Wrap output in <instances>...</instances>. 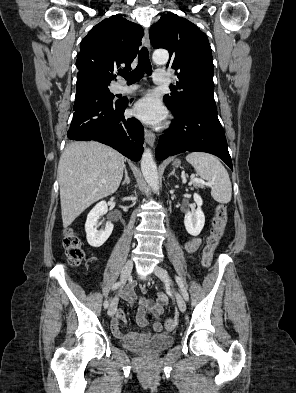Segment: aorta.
<instances>
[{"mask_svg": "<svg viewBox=\"0 0 296 393\" xmlns=\"http://www.w3.org/2000/svg\"><path fill=\"white\" fill-rule=\"evenodd\" d=\"M152 58L156 64H165L169 59V54L166 50H156L154 51ZM141 171L148 185L157 191L159 189V178L157 166L150 149H145L143 152L141 159Z\"/></svg>", "mask_w": 296, "mask_h": 393, "instance_id": "1", "label": "aorta"}]
</instances>
